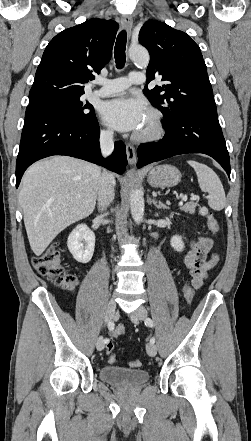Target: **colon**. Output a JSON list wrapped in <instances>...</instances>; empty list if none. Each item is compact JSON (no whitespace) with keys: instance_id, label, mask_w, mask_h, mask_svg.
Masks as SVG:
<instances>
[{"instance_id":"colon-1","label":"colon","mask_w":251,"mask_h":441,"mask_svg":"<svg viewBox=\"0 0 251 441\" xmlns=\"http://www.w3.org/2000/svg\"><path fill=\"white\" fill-rule=\"evenodd\" d=\"M207 225L212 233H217L219 231V223L211 212L207 214ZM32 262L36 271L53 283L63 288H69L75 285L76 277L72 274L66 273L61 262V254L57 243L50 245L40 255L34 257ZM184 296L187 303L192 302L194 297L193 283L185 285ZM106 349L109 355L108 362L110 364L115 363L116 356L113 354L114 344L112 341L107 344ZM141 365L142 362L140 360H133L130 362L132 368H139Z\"/></svg>"}]
</instances>
